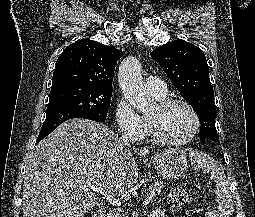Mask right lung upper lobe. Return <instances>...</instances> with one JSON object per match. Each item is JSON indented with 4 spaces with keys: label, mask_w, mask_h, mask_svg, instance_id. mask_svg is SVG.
I'll use <instances>...</instances> for the list:
<instances>
[{
    "label": "right lung upper lobe",
    "mask_w": 255,
    "mask_h": 217,
    "mask_svg": "<svg viewBox=\"0 0 255 217\" xmlns=\"http://www.w3.org/2000/svg\"><path fill=\"white\" fill-rule=\"evenodd\" d=\"M122 52L97 41L81 39L69 45L56 61L52 87L75 84L112 89L114 69Z\"/></svg>",
    "instance_id": "obj_1"
}]
</instances>
